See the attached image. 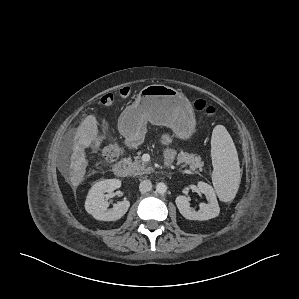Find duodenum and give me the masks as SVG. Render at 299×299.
I'll list each match as a JSON object with an SVG mask.
<instances>
[{
  "mask_svg": "<svg viewBox=\"0 0 299 299\" xmlns=\"http://www.w3.org/2000/svg\"><path fill=\"white\" fill-rule=\"evenodd\" d=\"M113 172L118 177H126L129 174V167L126 161L121 160L113 167Z\"/></svg>",
  "mask_w": 299,
  "mask_h": 299,
  "instance_id": "obj_1",
  "label": "duodenum"
}]
</instances>
